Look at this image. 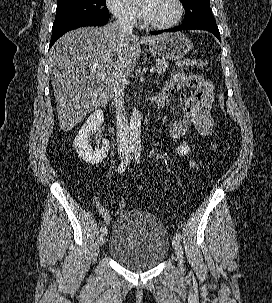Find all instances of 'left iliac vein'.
<instances>
[{
	"label": "left iliac vein",
	"mask_w": 272,
	"mask_h": 303,
	"mask_svg": "<svg viewBox=\"0 0 272 303\" xmlns=\"http://www.w3.org/2000/svg\"><path fill=\"white\" fill-rule=\"evenodd\" d=\"M176 257L179 261V267L181 270L184 269V260H183V249L181 242L178 238L174 237L172 242Z\"/></svg>",
	"instance_id": "1"
}]
</instances>
